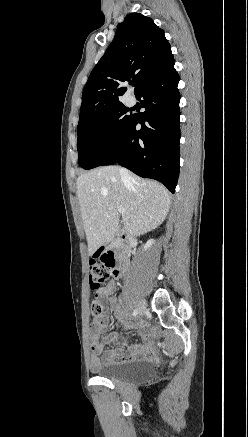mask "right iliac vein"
<instances>
[{
  "mask_svg": "<svg viewBox=\"0 0 248 437\" xmlns=\"http://www.w3.org/2000/svg\"><path fill=\"white\" fill-rule=\"evenodd\" d=\"M145 309H146V302H145V300L141 299L139 301V304H138V311L142 315L144 313Z\"/></svg>",
  "mask_w": 248,
  "mask_h": 437,
  "instance_id": "63e3f726",
  "label": "right iliac vein"
}]
</instances>
